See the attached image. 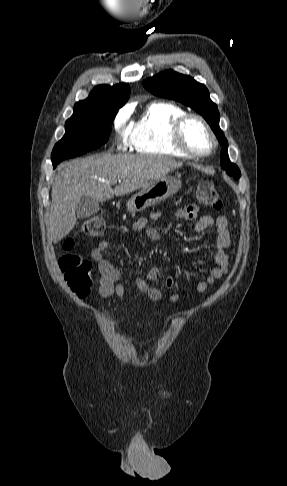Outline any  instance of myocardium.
<instances>
[{
    "mask_svg": "<svg viewBox=\"0 0 287 486\" xmlns=\"http://www.w3.org/2000/svg\"><path fill=\"white\" fill-rule=\"evenodd\" d=\"M195 120L198 123L201 124V126L204 128L206 133L208 134L210 140H211V146L209 150L205 152H197L191 149L184 138V129L185 126L187 125L188 122ZM172 141L173 144L184 154H186L189 157L193 158H204L209 155H211L217 147V139L212 131L211 127L209 126L208 122L199 114L195 113H186L183 116H181L173 125L172 128Z\"/></svg>",
    "mask_w": 287,
    "mask_h": 486,
    "instance_id": "f54148a6",
    "label": "myocardium"
}]
</instances>
